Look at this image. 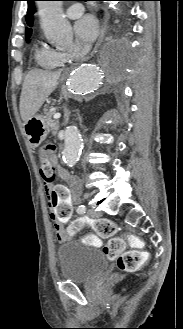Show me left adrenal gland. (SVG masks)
I'll return each instance as SVG.
<instances>
[{
	"label": "left adrenal gland",
	"instance_id": "obj_1",
	"mask_svg": "<svg viewBox=\"0 0 183 329\" xmlns=\"http://www.w3.org/2000/svg\"><path fill=\"white\" fill-rule=\"evenodd\" d=\"M70 111L67 107L64 108V124H67L69 121Z\"/></svg>",
	"mask_w": 183,
	"mask_h": 329
}]
</instances>
